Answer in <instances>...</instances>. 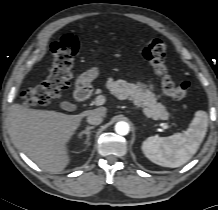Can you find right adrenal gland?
I'll return each mask as SVG.
<instances>
[{
	"mask_svg": "<svg viewBox=\"0 0 218 210\" xmlns=\"http://www.w3.org/2000/svg\"><path fill=\"white\" fill-rule=\"evenodd\" d=\"M95 127L94 126H89L87 127L84 131H82L79 136L80 138L83 136V135H86V141H85V144H88L89 140H90V134H91V130L94 129Z\"/></svg>",
	"mask_w": 218,
	"mask_h": 210,
	"instance_id": "obj_1",
	"label": "right adrenal gland"
}]
</instances>
